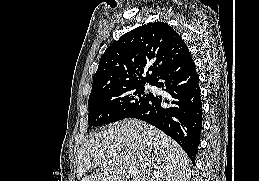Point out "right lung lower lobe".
<instances>
[{
    "mask_svg": "<svg viewBox=\"0 0 259 181\" xmlns=\"http://www.w3.org/2000/svg\"><path fill=\"white\" fill-rule=\"evenodd\" d=\"M151 85L163 88L171 99L163 100L152 94L146 105L130 117L143 120L170 136L194 164L200 143L202 106L199 78L190 53L161 72ZM164 102L169 105H161Z\"/></svg>",
    "mask_w": 259,
    "mask_h": 181,
    "instance_id": "right-lung-lower-lobe-1",
    "label": "right lung lower lobe"
}]
</instances>
